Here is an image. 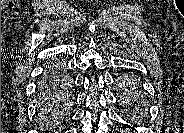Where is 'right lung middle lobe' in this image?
<instances>
[{
  "label": "right lung middle lobe",
  "instance_id": "dd1d6c3e",
  "mask_svg": "<svg viewBox=\"0 0 184 133\" xmlns=\"http://www.w3.org/2000/svg\"><path fill=\"white\" fill-rule=\"evenodd\" d=\"M61 66L49 67L39 84L38 106L41 115L47 116L54 113L64 98L61 96L66 90L68 81L64 77Z\"/></svg>",
  "mask_w": 184,
  "mask_h": 133
}]
</instances>
